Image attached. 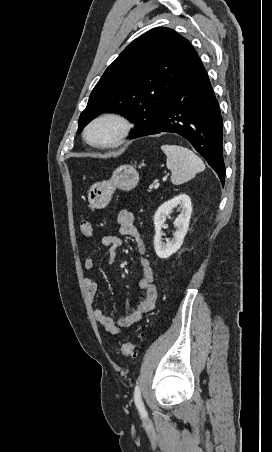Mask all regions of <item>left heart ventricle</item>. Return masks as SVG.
Returning <instances> with one entry per match:
<instances>
[{
	"label": "left heart ventricle",
	"mask_w": 272,
	"mask_h": 452,
	"mask_svg": "<svg viewBox=\"0 0 272 452\" xmlns=\"http://www.w3.org/2000/svg\"><path fill=\"white\" fill-rule=\"evenodd\" d=\"M114 127L111 124L104 123L96 126L90 133V138L94 141H105L114 134Z\"/></svg>",
	"instance_id": "b2bd125f"
}]
</instances>
